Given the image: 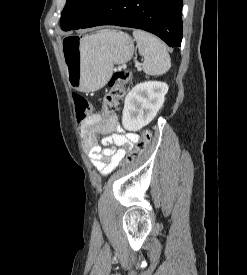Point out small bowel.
<instances>
[{"label":"small bowel","mask_w":247,"mask_h":275,"mask_svg":"<svg viewBox=\"0 0 247 275\" xmlns=\"http://www.w3.org/2000/svg\"><path fill=\"white\" fill-rule=\"evenodd\" d=\"M81 135L92 164L103 176L111 173L139 140L136 133L123 130L114 114L108 118L90 115L81 126ZM98 135H104L101 144Z\"/></svg>","instance_id":"obj_1"}]
</instances>
